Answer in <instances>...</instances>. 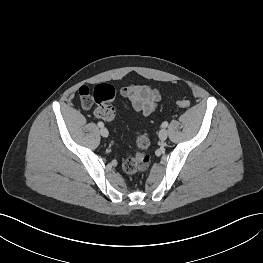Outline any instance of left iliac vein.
Returning a JSON list of instances; mask_svg holds the SVG:
<instances>
[{
	"label": "left iliac vein",
	"mask_w": 263,
	"mask_h": 263,
	"mask_svg": "<svg viewBox=\"0 0 263 263\" xmlns=\"http://www.w3.org/2000/svg\"><path fill=\"white\" fill-rule=\"evenodd\" d=\"M158 136H159V139H160V140L164 141V140H166L167 137H168V131H167L166 129H161V130L159 131Z\"/></svg>",
	"instance_id": "4c4485c4"
}]
</instances>
